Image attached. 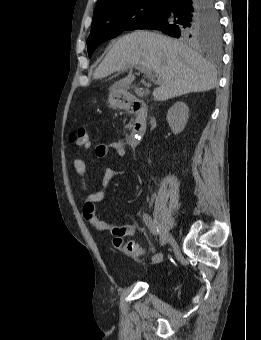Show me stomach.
<instances>
[{"mask_svg":"<svg viewBox=\"0 0 261 340\" xmlns=\"http://www.w3.org/2000/svg\"><path fill=\"white\" fill-rule=\"evenodd\" d=\"M128 93L124 89L111 88L108 95V102L112 108H123L126 104Z\"/></svg>","mask_w":261,"mask_h":340,"instance_id":"obj_1","label":"stomach"}]
</instances>
